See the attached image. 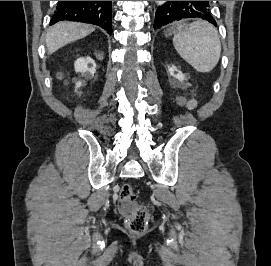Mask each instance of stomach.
I'll return each mask as SVG.
<instances>
[{"mask_svg": "<svg viewBox=\"0 0 271 266\" xmlns=\"http://www.w3.org/2000/svg\"><path fill=\"white\" fill-rule=\"evenodd\" d=\"M171 34V31H168L166 32V36L170 35Z\"/></svg>", "mask_w": 271, "mask_h": 266, "instance_id": "0dacf381", "label": "stomach"}]
</instances>
